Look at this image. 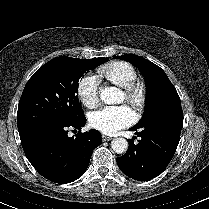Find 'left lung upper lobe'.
Segmentation results:
<instances>
[{
    "instance_id": "obj_1",
    "label": "left lung upper lobe",
    "mask_w": 209,
    "mask_h": 209,
    "mask_svg": "<svg viewBox=\"0 0 209 209\" xmlns=\"http://www.w3.org/2000/svg\"><path fill=\"white\" fill-rule=\"evenodd\" d=\"M116 58L132 63L145 77L148 104L141 120L135 126L144 125L159 118L183 117L179 95L166 73L159 66L134 54Z\"/></svg>"
}]
</instances>
